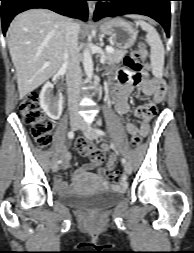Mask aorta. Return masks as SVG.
Listing matches in <instances>:
<instances>
[{"mask_svg":"<svg viewBox=\"0 0 194 253\" xmlns=\"http://www.w3.org/2000/svg\"><path fill=\"white\" fill-rule=\"evenodd\" d=\"M85 74L88 78L93 77V61L89 49H85L82 57Z\"/></svg>","mask_w":194,"mask_h":253,"instance_id":"762f6f07","label":"aorta"}]
</instances>
